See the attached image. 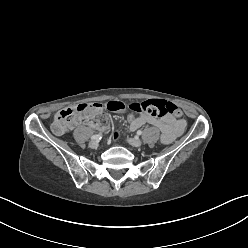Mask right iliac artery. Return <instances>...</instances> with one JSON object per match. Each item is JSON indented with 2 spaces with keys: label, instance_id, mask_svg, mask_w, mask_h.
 Masks as SVG:
<instances>
[{
  "label": "right iliac artery",
  "instance_id": "obj_1",
  "mask_svg": "<svg viewBox=\"0 0 248 248\" xmlns=\"http://www.w3.org/2000/svg\"><path fill=\"white\" fill-rule=\"evenodd\" d=\"M101 138H102V136L100 134L91 136L92 140H100Z\"/></svg>",
  "mask_w": 248,
  "mask_h": 248
}]
</instances>
